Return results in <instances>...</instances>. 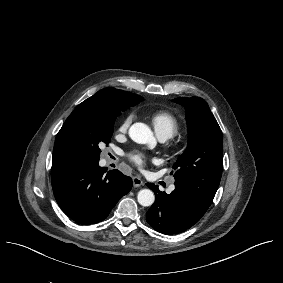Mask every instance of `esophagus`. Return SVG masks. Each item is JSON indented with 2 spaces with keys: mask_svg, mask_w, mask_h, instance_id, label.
Returning a JSON list of instances; mask_svg holds the SVG:
<instances>
[{
  "mask_svg": "<svg viewBox=\"0 0 283 283\" xmlns=\"http://www.w3.org/2000/svg\"><path fill=\"white\" fill-rule=\"evenodd\" d=\"M133 185L139 187L143 185V181L139 177H133Z\"/></svg>",
  "mask_w": 283,
  "mask_h": 283,
  "instance_id": "1",
  "label": "esophagus"
}]
</instances>
